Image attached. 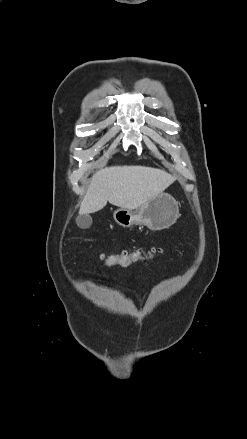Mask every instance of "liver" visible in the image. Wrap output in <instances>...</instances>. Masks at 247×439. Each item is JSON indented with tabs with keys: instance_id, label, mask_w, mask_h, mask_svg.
<instances>
[{
	"instance_id": "liver-1",
	"label": "liver",
	"mask_w": 247,
	"mask_h": 439,
	"mask_svg": "<svg viewBox=\"0 0 247 439\" xmlns=\"http://www.w3.org/2000/svg\"><path fill=\"white\" fill-rule=\"evenodd\" d=\"M175 180L166 171L145 166H112L97 171L80 206L81 214L103 209L107 201L117 207L137 209L163 193Z\"/></svg>"
}]
</instances>
